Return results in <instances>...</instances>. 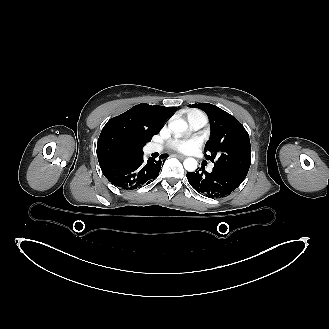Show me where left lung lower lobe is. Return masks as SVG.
Instances as JSON below:
<instances>
[{"mask_svg": "<svg viewBox=\"0 0 329 329\" xmlns=\"http://www.w3.org/2000/svg\"><path fill=\"white\" fill-rule=\"evenodd\" d=\"M187 179L190 185L200 194L209 198H222L230 195L245 179L230 170L213 167L208 173L202 169L188 172Z\"/></svg>", "mask_w": 329, "mask_h": 329, "instance_id": "obj_1", "label": "left lung lower lobe"}]
</instances>
